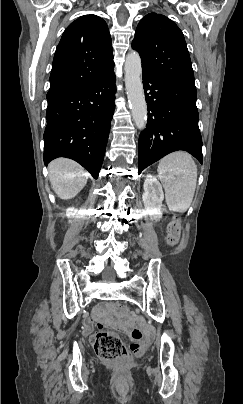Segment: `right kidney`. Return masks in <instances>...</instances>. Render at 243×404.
I'll use <instances>...</instances> for the list:
<instances>
[{"label":"right kidney","mask_w":243,"mask_h":404,"mask_svg":"<svg viewBox=\"0 0 243 404\" xmlns=\"http://www.w3.org/2000/svg\"><path fill=\"white\" fill-rule=\"evenodd\" d=\"M76 212H78V210H76V208H68V210H66L67 218H74ZM70 222H71V220H70Z\"/></svg>","instance_id":"1"}]
</instances>
